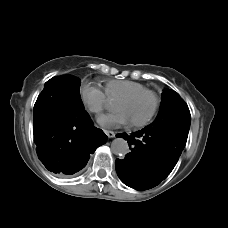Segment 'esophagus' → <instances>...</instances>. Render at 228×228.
Instances as JSON below:
<instances>
[{"label": "esophagus", "mask_w": 228, "mask_h": 228, "mask_svg": "<svg viewBox=\"0 0 228 228\" xmlns=\"http://www.w3.org/2000/svg\"><path fill=\"white\" fill-rule=\"evenodd\" d=\"M104 132L109 138L115 137V133L113 131L104 130Z\"/></svg>", "instance_id": "obj_1"}]
</instances>
